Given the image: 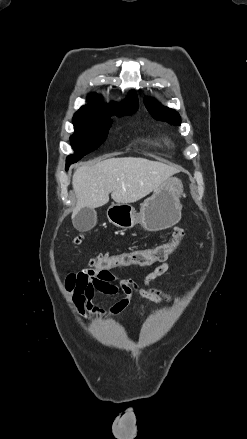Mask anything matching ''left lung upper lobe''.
Returning <instances> with one entry per match:
<instances>
[{
  "mask_svg": "<svg viewBox=\"0 0 247 439\" xmlns=\"http://www.w3.org/2000/svg\"><path fill=\"white\" fill-rule=\"evenodd\" d=\"M145 106L155 119L167 121L174 125L181 124L180 116L175 110L163 107L153 99H145Z\"/></svg>",
  "mask_w": 247,
  "mask_h": 439,
  "instance_id": "obj_1",
  "label": "left lung upper lobe"
}]
</instances>
